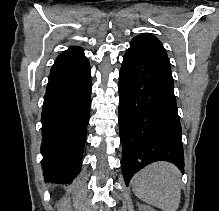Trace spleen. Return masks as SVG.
<instances>
[{"label": "spleen", "mask_w": 219, "mask_h": 211, "mask_svg": "<svg viewBox=\"0 0 219 211\" xmlns=\"http://www.w3.org/2000/svg\"><path fill=\"white\" fill-rule=\"evenodd\" d=\"M180 175L174 163L155 161L135 173L132 189L146 203L160 207L162 211H176L181 197Z\"/></svg>", "instance_id": "1"}]
</instances>
